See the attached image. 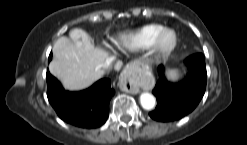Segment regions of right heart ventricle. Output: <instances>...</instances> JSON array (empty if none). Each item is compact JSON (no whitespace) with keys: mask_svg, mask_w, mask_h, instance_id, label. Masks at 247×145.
<instances>
[{"mask_svg":"<svg viewBox=\"0 0 247 145\" xmlns=\"http://www.w3.org/2000/svg\"><path fill=\"white\" fill-rule=\"evenodd\" d=\"M163 28V25L151 23L120 35L116 44L119 48L137 52L150 46L155 35Z\"/></svg>","mask_w":247,"mask_h":145,"instance_id":"right-heart-ventricle-1","label":"right heart ventricle"}]
</instances>
